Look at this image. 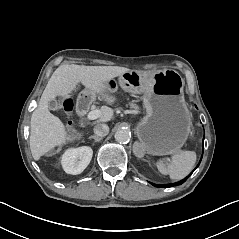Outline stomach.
I'll return each instance as SVG.
<instances>
[{"instance_id":"1","label":"stomach","mask_w":239,"mask_h":239,"mask_svg":"<svg viewBox=\"0 0 239 239\" xmlns=\"http://www.w3.org/2000/svg\"><path fill=\"white\" fill-rule=\"evenodd\" d=\"M118 85L128 93L143 94L146 116L136 127L140 150L151 155L178 152L192 130V116L184 98V81L179 74H149L132 70L106 82L105 93H114ZM91 100L96 92L85 88L78 99Z\"/></svg>"}]
</instances>
